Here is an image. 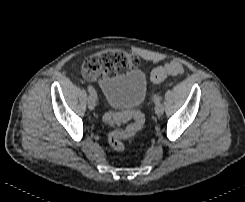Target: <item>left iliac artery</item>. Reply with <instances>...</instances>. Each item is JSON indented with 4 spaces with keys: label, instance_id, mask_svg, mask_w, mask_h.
Listing matches in <instances>:
<instances>
[{
    "label": "left iliac artery",
    "instance_id": "44dca946",
    "mask_svg": "<svg viewBox=\"0 0 245 202\" xmlns=\"http://www.w3.org/2000/svg\"><path fill=\"white\" fill-rule=\"evenodd\" d=\"M161 96L160 95H154L153 96V102L155 103V104H158V103H160L161 102Z\"/></svg>",
    "mask_w": 245,
    "mask_h": 202
}]
</instances>
